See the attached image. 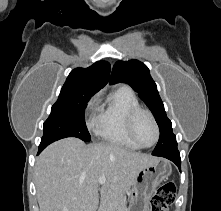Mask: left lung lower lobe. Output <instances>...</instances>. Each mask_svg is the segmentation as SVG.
<instances>
[{
    "mask_svg": "<svg viewBox=\"0 0 221 211\" xmlns=\"http://www.w3.org/2000/svg\"><path fill=\"white\" fill-rule=\"evenodd\" d=\"M160 157L167 158L171 161H173L181 170V159H180V153L179 151L171 152V153H165V154H160Z\"/></svg>",
    "mask_w": 221,
    "mask_h": 211,
    "instance_id": "1",
    "label": "left lung lower lobe"
}]
</instances>
